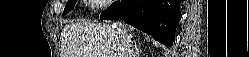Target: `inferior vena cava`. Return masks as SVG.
Listing matches in <instances>:
<instances>
[{
	"label": "inferior vena cava",
	"instance_id": "602c4592",
	"mask_svg": "<svg viewBox=\"0 0 249 57\" xmlns=\"http://www.w3.org/2000/svg\"><path fill=\"white\" fill-rule=\"evenodd\" d=\"M119 39L121 49L123 50V57H136L135 48L131 42V39L125 33L119 32Z\"/></svg>",
	"mask_w": 249,
	"mask_h": 57
}]
</instances>
